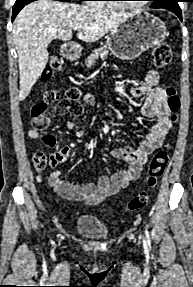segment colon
Masks as SVG:
<instances>
[{
  "label": "colon",
  "mask_w": 193,
  "mask_h": 287,
  "mask_svg": "<svg viewBox=\"0 0 193 287\" xmlns=\"http://www.w3.org/2000/svg\"><path fill=\"white\" fill-rule=\"evenodd\" d=\"M172 60V51L169 45H157L151 54V62L154 66H167ZM61 60L58 57H51L46 76L52 77L61 70ZM167 103L171 112V121L174 123L177 119V113L180 109V98L175 89L168 87L166 89ZM91 102L92 99L88 95H84L80 90L72 88L66 92L65 98L58 101L55 111L59 114L70 113L75 116L82 115L84 105L82 99ZM57 94L53 91L47 92L44 95V100L34 104L32 107V123L38 130L44 129L49 125L50 117L47 115V104L55 102ZM169 162V153L167 149L159 150L151 159L149 164V173L147 184L149 188H154L158 180L162 177ZM33 165L38 172L44 171L48 166V158L46 154L40 150L36 151L33 156ZM150 196L149 193L143 191L133 197L127 208L129 211L141 210L147 206Z\"/></svg>",
  "instance_id": "colon-1"
}]
</instances>
